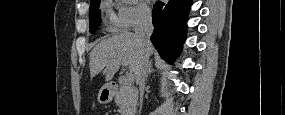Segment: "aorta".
Returning a JSON list of instances; mask_svg holds the SVG:
<instances>
[{
	"mask_svg": "<svg viewBox=\"0 0 285 115\" xmlns=\"http://www.w3.org/2000/svg\"><path fill=\"white\" fill-rule=\"evenodd\" d=\"M127 3H134L136 0H125Z\"/></svg>",
	"mask_w": 285,
	"mask_h": 115,
	"instance_id": "762f6f07",
	"label": "aorta"
}]
</instances>
